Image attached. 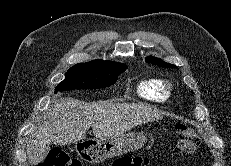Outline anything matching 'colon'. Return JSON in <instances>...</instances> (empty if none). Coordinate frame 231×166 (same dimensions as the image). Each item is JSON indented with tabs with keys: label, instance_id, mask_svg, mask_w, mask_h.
<instances>
[{
	"label": "colon",
	"instance_id": "obj_1",
	"mask_svg": "<svg viewBox=\"0 0 231 166\" xmlns=\"http://www.w3.org/2000/svg\"><path fill=\"white\" fill-rule=\"evenodd\" d=\"M180 134L177 146L180 152L191 154L199 144V137L194 131L185 127L178 126ZM147 158L141 156L124 155L116 158L112 166H147ZM39 166H82L81 162L72 158L66 151L61 148H52L46 159Z\"/></svg>",
	"mask_w": 231,
	"mask_h": 166
}]
</instances>
